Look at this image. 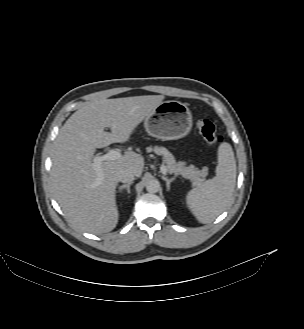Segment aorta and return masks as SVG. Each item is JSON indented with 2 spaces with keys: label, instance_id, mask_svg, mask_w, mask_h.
Returning <instances> with one entry per match:
<instances>
[{
  "label": "aorta",
  "instance_id": "aorta-1",
  "mask_svg": "<svg viewBox=\"0 0 304 329\" xmlns=\"http://www.w3.org/2000/svg\"><path fill=\"white\" fill-rule=\"evenodd\" d=\"M159 188H160V184L156 180H150L146 185V190L149 193H156L159 191Z\"/></svg>",
  "mask_w": 304,
  "mask_h": 329
}]
</instances>
